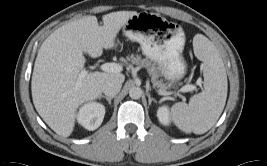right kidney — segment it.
Here are the masks:
<instances>
[{
  "mask_svg": "<svg viewBox=\"0 0 267 166\" xmlns=\"http://www.w3.org/2000/svg\"><path fill=\"white\" fill-rule=\"evenodd\" d=\"M104 115V105L97 102H89L80 108L77 120L87 130L92 131L101 125Z\"/></svg>",
  "mask_w": 267,
  "mask_h": 166,
  "instance_id": "1",
  "label": "right kidney"
}]
</instances>
